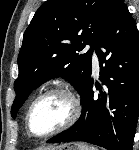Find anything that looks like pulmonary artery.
<instances>
[{
    "label": "pulmonary artery",
    "mask_w": 139,
    "mask_h": 150,
    "mask_svg": "<svg viewBox=\"0 0 139 150\" xmlns=\"http://www.w3.org/2000/svg\"><path fill=\"white\" fill-rule=\"evenodd\" d=\"M86 50H91L93 69H94L95 72H98L99 63H98V56H97V53H96L95 49H93L91 47H87Z\"/></svg>",
    "instance_id": "e3ab8cb5"
}]
</instances>
